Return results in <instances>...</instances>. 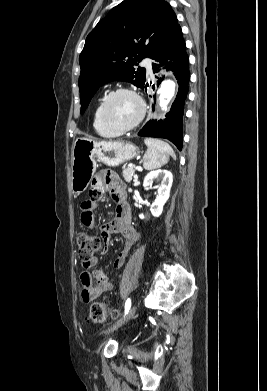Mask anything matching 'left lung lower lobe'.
<instances>
[{
  "mask_svg": "<svg viewBox=\"0 0 267 391\" xmlns=\"http://www.w3.org/2000/svg\"><path fill=\"white\" fill-rule=\"evenodd\" d=\"M155 61L153 72L157 83L163 79L165 69L174 71L178 80L179 91L170 112L166 114V119L160 121H149L138 133L139 136L165 138L173 142L179 150H182V120L184 103L188 93L189 58L186 53V44L183 39L181 27L178 25L168 38L157 47L150 56ZM168 60H170L168 62ZM146 83L142 88H147Z\"/></svg>",
  "mask_w": 267,
  "mask_h": 391,
  "instance_id": "0a47b994",
  "label": "left lung lower lobe"
}]
</instances>
